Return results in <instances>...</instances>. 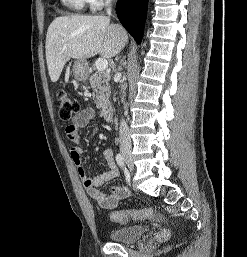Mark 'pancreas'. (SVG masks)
Instances as JSON below:
<instances>
[{
	"instance_id": "pancreas-1",
	"label": "pancreas",
	"mask_w": 247,
	"mask_h": 257,
	"mask_svg": "<svg viewBox=\"0 0 247 257\" xmlns=\"http://www.w3.org/2000/svg\"><path fill=\"white\" fill-rule=\"evenodd\" d=\"M110 74L104 71L94 73L90 77V85L93 89L94 103L98 109H104L109 104L110 97Z\"/></svg>"
}]
</instances>
